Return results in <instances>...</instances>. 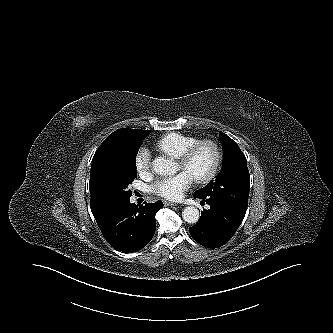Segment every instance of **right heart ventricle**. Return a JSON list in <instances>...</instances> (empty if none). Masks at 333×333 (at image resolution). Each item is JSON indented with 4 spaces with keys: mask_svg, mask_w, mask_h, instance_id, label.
Instances as JSON below:
<instances>
[{
    "mask_svg": "<svg viewBox=\"0 0 333 333\" xmlns=\"http://www.w3.org/2000/svg\"><path fill=\"white\" fill-rule=\"evenodd\" d=\"M198 141L196 137L180 133H168L161 137L156 143L157 150L173 157L180 158L184 152Z\"/></svg>",
    "mask_w": 333,
    "mask_h": 333,
    "instance_id": "1",
    "label": "right heart ventricle"
}]
</instances>
